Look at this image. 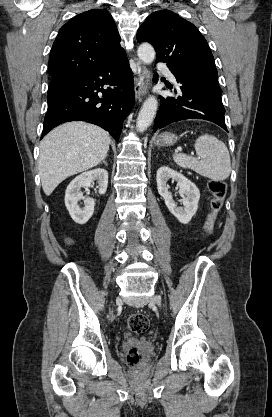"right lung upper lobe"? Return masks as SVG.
I'll return each instance as SVG.
<instances>
[{"label": "right lung upper lobe", "instance_id": "obj_1", "mask_svg": "<svg viewBox=\"0 0 272 417\" xmlns=\"http://www.w3.org/2000/svg\"><path fill=\"white\" fill-rule=\"evenodd\" d=\"M107 10H89L61 27L49 58L51 78L95 70L124 49Z\"/></svg>", "mask_w": 272, "mask_h": 417}]
</instances>
